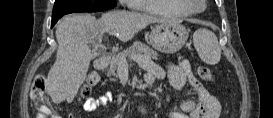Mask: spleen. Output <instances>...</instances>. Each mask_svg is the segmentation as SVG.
Wrapping results in <instances>:
<instances>
[{"label":"spleen","mask_w":273,"mask_h":118,"mask_svg":"<svg viewBox=\"0 0 273 118\" xmlns=\"http://www.w3.org/2000/svg\"><path fill=\"white\" fill-rule=\"evenodd\" d=\"M193 42L203 62L215 65L220 61L221 49L218 39L213 32L207 29H199L193 34Z\"/></svg>","instance_id":"spleen-1"}]
</instances>
